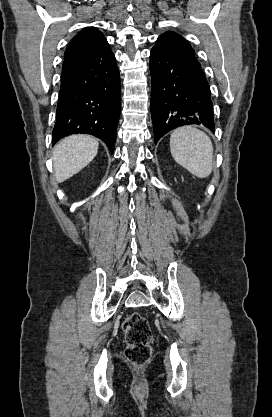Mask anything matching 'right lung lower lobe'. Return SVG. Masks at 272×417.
Returning <instances> with one entry per match:
<instances>
[{"instance_id":"1","label":"right lung lower lobe","mask_w":272,"mask_h":417,"mask_svg":"<svg viewBox=\"0 0 272 417\" xmlns=\"http://www.w3.org/2000/svg\"><path fill=\"white\" fill-rule=\"evenodd\" d=\"M121 85L107 41L92 54L64 60L53 144L71 134H91L114 152Z\"/></svg>"}]
</instances>
